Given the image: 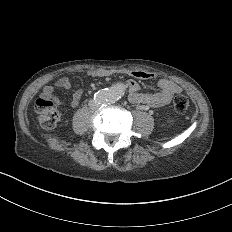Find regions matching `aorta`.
Wrapping results in <instances>:
<instances>
[{"instance_id":"obj_1","label":"aorta","mask_w":232,"mask_h":232,"mask_svg":"<svg viewBox=\"0 0 232 232\" xmlns=\"http://www.w3.org/2000/svg\"><path fill=\"white\" fill-rule=\"evenodd\" d=\"M124 94L125 86L123 84L117 83L104 91L102 95L106 100L116 101L119 100Z\"/></svg>"}]
</instances>
